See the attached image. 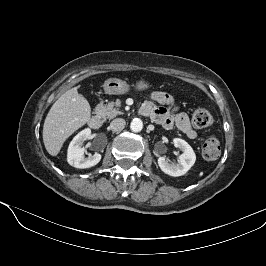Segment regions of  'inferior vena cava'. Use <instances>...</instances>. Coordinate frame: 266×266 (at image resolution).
Listing matches in <instances>:
<instances>
[{"label": "inferior vena cava", "mask_w": 266, "mask_h": 266, "mask_svg": "<svg viewBox=\"0 0 266 266\" xmlns=\"http://www.w3.org/2000/svg\"><path fill=\"white\" fill-rule=\"evenodd\" d=\"M126 125V122L122 118H116L110 123V128L112 131L117 132L121 131Z\"/></svg>", "instance_id": "1"}]
</instances>
